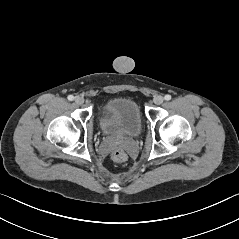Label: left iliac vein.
I'll return each mask as SVG.
<instances>
[{
	"mask_svg": "<svg viewBox=\"0 0 239 239\" xmlns=\"http://www.w3.org/2000/svg\"><path fill=\"white\" fill-rule=\"evenodd\" d=\"M164 102V98L161 95H158L154 98V103L156 105H161Z\"/></svg>",
	"mask_w": 239,
	"mask_h": 239,
	"instance_id": "4c4485c4",
	"label": "left iliac vein"
}]
</instances>
